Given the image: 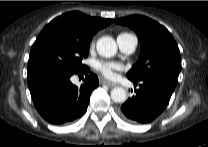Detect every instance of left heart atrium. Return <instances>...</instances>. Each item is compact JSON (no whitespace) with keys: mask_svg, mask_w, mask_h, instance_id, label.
<instances>
[{"mask_svg":"<svg viewBox=\"0 0 208 147\" xmlns=\"http://www.w3.org/2000/svg\"><path fill=\"white\" fill-rule=\"evenodd\" d=\"M94 67L107 78H114L116 72L122 69V66L119 63L106 61H97L95 62Z\"/></svg>","mask_w":208,"mask_h":147,"instance_id":"39dd6f15","label":"left heart atrium"}]
</instances>
